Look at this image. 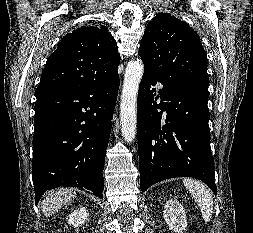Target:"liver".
Listing matches in <instances>:
<instances>
[{
  "instance_id": "6515ba94",
  "label": "liver",
  "mask_w": 253,
  "mask_h": 233,
  "mask_svg": "<svg viewBox=\"0 0 253 233\" xmlns=\"http://www.w3.org/2000/svg\"><path fill=\"white\" fill-rule=\"evenodd\" d=\"M76 192L70 188H60L49 192L41 202L42 212L46 217L54 215L67 202L74 198Z\"/></svg>"
}]
</instances>
